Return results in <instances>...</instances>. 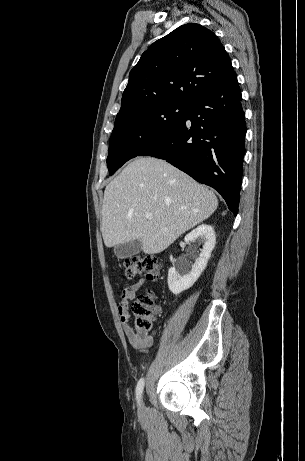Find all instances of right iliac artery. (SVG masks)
<instances>
[{
  "label": "right iliac artery",
  "instance_id": "right-iliac-artery-1",
  "mask_svg": "<svg viewBox=\"0 0 305 461\" xmlns=\"http://www.w3.org/2000/svg\"><path fill=\"white\" fill-rule=\"evenodd\" d=\"M143 388H144V379L141 378V379L138 381L137 387H136V399H137V402H138L139 404H140V401H141Z\"/></svg>",
  "mask_w": 305,
  "mask_h": 461
}]
</instances>
